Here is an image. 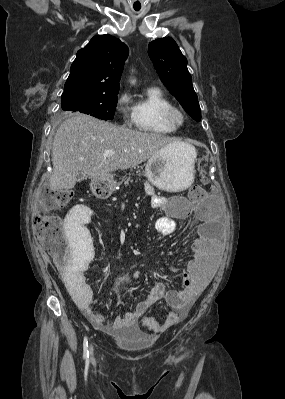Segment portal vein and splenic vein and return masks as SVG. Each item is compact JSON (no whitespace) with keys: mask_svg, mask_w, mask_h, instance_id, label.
Here are the masks:
<instances>
[{"mask_svg":"<svg viewBox=\"0 0 285 399\" xmlns=\"http://www.w3.org/2000/svg\"><path fill=\"white\" fill-rule=\"evenodd\" d=\"M113 155H114V152H113V151H105V152L103 153V157H104V158L111 157V156H113Z\"/></svg>","mask_w":285,"mask_h":399,"instance_id":"18ae733b","label":"portal vein and splenic vein"}]
</instances>
